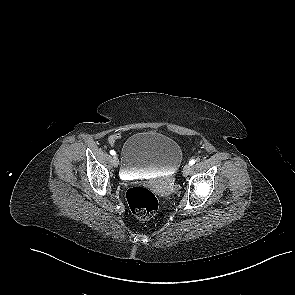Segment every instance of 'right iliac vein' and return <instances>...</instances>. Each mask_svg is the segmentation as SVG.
Segmentation results:
<instances>
[{
	"instance_id": "1",
	"label": "right iliac vein",
	"mask_w": 295,
	"mask_h": 295,
	"mask_svg": "<svg viewBox=\"0 0 295 295\" xmlns=\"http://www.w3.org/2000/svg\"><path fill=\"white\" fill-rule=\"evenodd\" d=\"M112 164H113L114 167H118V165H119V160H118V158H117L116 156H114V157L112 158Z\"/></svg>"
}]
</instances>
